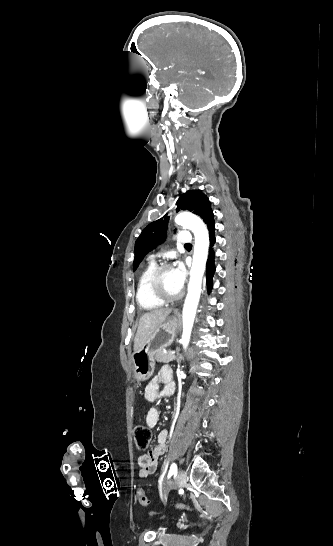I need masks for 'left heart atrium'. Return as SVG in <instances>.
<instances>
[{
    "label": "left heart atrium",
    "instance_id": "1",
    "mask_svg": "<svg viewBox=\"0 0 333 546\" xmlns=\"http://www.w3.org/2000/svg\"><path fill=\"white\" fill-rule=\"evenodd\" d=\"M172 274L177 288L182 290L186 279V271L183 265L181 263L176 264L172 269Z\"/></svg>",
    "mask_w": 333,
    "mask_h": 546
}]
</instances>
